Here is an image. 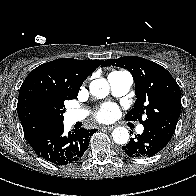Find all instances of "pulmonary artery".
<instances>
[{"instance_id":"e3ab8cb5","label":"pulmonary artery","mask_w":196,"mask_h":196,"mask_svg":"<svg viewBox=\"0 0 196 196\" xmlns=\"http://www.w3.org/2000/svg\"><path fill=\"white\" fill-rule=\"evenodd\" d=\"M108 82L113 95L123 96L131 88L133 79L131 74L128 72H112L108 75ZM87 116V112L84 110H72L68 112V119L71 122L82 121ZM144 127L139 125L137 127V132L142 133Z\"/></svg>"}]
</instances>
